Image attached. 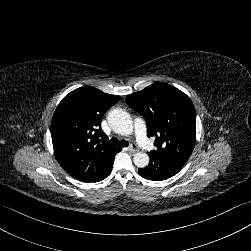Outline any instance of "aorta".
Instances as JSON below:
<instances>
[{
	"instance_id": "762f6f07",
	"label": "aorta",
	"mask_w": 251,
	"mask_h": 251,
	"mask_svg": "<svg viewBox=\"0 0 251 251\" xmlns=\"http://www.w3.org/2000/svg\"><path fill=\"white\" fill-rule=\"evenodd\" d=\"M107 121L111 129L120 135H129L133 132V121L130 115L122 109H113L109 112ZM134 164L144 168L149 164V156L144 152H137L133 157Z\"/></svg>"
}]
</instances>
